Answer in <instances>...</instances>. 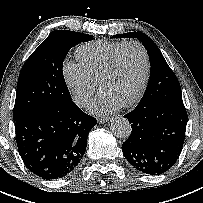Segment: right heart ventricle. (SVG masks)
Masks as SVG:
<instances>
[{
	"mask_svg": "<svg viewBox=\"0 0 203 203\" xmlns=\"http://www.w3.org/2000/svg\"><path fill=\"white\" fill-rule=\"evenodd\" d=\"M124 42L97 41L86 43L76 50V58L90 76L98 81L111 56Z\"/></svg>",
	"mask_w": 203,
	"mask_h": 203,
	"instance_id": "right-heart-ventricle-1",
	"label": "right heart ventricle"
}]
</instances>
